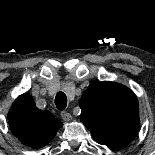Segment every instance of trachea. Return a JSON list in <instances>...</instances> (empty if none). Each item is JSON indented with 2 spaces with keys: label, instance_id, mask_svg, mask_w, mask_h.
<instances>
[{
  "label": "trachea",
  "instance_id": "obj_1",
  "mask_svg": "<svg viewBox=\"0 0 155 155\" xmlns=\"http://www.w3.org/2000/svg\"><path fill=\"white\" fill-rule=\"evenodd\" d=\"M55 105L59 110H64L67 106V97L64 92H58L55 97Z\"/></svg>",
  "mask_w": 155,
  "mask_h": 155
}]
</instances>
